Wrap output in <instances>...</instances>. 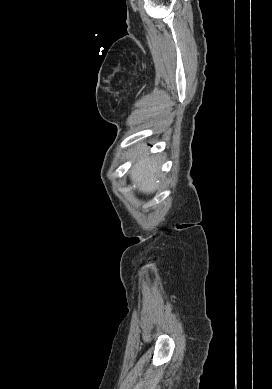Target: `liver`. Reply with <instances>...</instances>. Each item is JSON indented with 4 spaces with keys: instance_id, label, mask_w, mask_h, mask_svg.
Returning a JSON list of instances; mask_svg holds the SVG:
<instances>
[{
    "instance_id": "obj_1",
    "label": "liver",
    "mask_w": 272,
    "mask_h": 389,
    "mask_svg": "<svg viewBox=\"0 0 272 389\" xmlns=\"http://www.w3.org/2000/svg\"><path fill=\"white\" fill-rule=\"evenodd\" d=\"M137 163L131 169V180L138 183V189L143 193H153L157 189L156 180L160 166L155 157H145L142 152L135 155Z\"/></svg>"
}]
</instances>
